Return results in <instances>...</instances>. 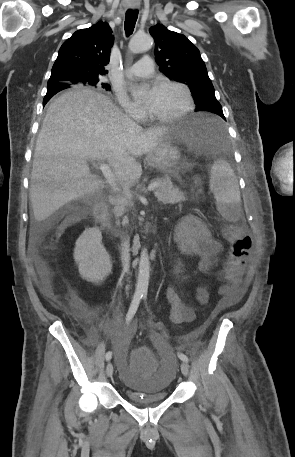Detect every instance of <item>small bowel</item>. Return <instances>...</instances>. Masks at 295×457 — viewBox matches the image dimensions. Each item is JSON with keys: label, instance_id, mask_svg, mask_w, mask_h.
<instances>
[{"label": "small bowel", "instance_id": "1", "mask_svg": "<svg viewBox=\"0 0 295 457\" xmlns=\"http://www.w3.org/2000/svg\"><path fill=\"white\" fill-rule=\"evenodd\" d=\"M174 241L178 244L180 250L189 255H195L199 258V267L202 271H207L213 264L215 258L222 251V245L211 235L206 224L194 215L187 214L183 216L175 225L173 233ZM243 287L238 283L230 285L227 289L228 301L236 302L243 294ZM167 301L170 304V320L174 324H182L192 322L195 319L193 309L184 303L179 295L172 289L167 288L165 292ZM196 299L199 302L205 303L208 300V293L205 289L199 288L196 292ZM90 314L97 317L95 311H90ZM122 322V312L116 309L106 319L104 325L108 329ZM152 339L157 342H162L158 330V325H151ZM136 326L128 327L121 335V338H128V341L133 336Z\"/></svg>", "mask_w": 295, "mask_h": 457}]
</instances>
